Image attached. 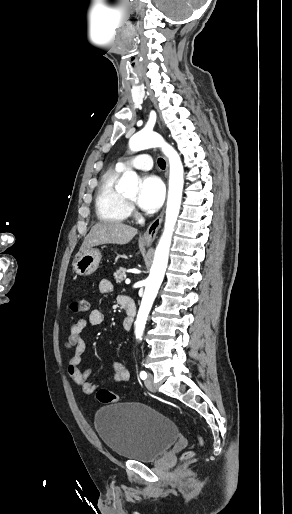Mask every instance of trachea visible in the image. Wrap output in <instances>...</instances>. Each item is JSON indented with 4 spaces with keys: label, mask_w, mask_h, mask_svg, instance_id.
<instances>
[{
    "label": "trachea",
    "mask_w": 292,
    "mask_h": 514,
    "mask_svg": "<svg viewBox=\"0 0 292 514\" xmlns=\"http://www.w3.org/2000/svg\"><path fill=\"white\" fill-rule=\"evenodd\" d=\"M157 163H158V165H159L160 169H165V167H166V162H165V160H164V159H161V158H160V159H158V162H157Z\"/></svg>",
    "instance_id": "3493384b"
}]
</instances>
